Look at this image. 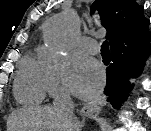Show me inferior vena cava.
<instances>
[{
    "instance_id": "inferior-vena-cava-1",
    "label": "inferior vena cava",
    "mask_w": 151,
    "mask_h": 131,
    "mask_svg": "<svg viewBox=\"0 0 151 131\" xmlns=\"http://www.w3.org/2000/svg\"><path fill=\"white\" fill-rule=\"evenodd\" d=\"M53 106L65 112L72 119L73 102L69 92L63 91L58 94L54 99Z\"/></svg>"
}]
</instances>
